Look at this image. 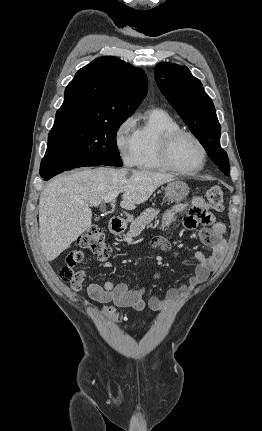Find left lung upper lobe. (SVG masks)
Returning <instances> with one entry per match:
<instances>
[{
	"mask_svg": "<svg viewBox=\"0 0 262 431\" xmlns=\"http://www.w3.org/2000/svg\"><path fill=\"white\" fill-rule=\"evenodd\" d=\"M155 80L168 102L189 126L209 157L226 175L229 161L220 146L221 126L211 98L202 83L186 66L159 63L155 67Z\"/></svg>",
	"mask_w": 262,
	"mask_h": 431,
	"instance_id": "1",
	"label": "left lung upper lobe"
}]
</instances>
